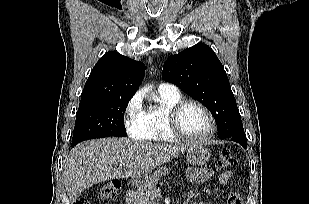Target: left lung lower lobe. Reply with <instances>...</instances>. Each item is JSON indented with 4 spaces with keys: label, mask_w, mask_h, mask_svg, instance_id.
I'll use <instances>...</instances> for the list:
<instances>
[{
    "label": "left lung lower lobe",
    "mask_w": 309,
    "mask_h": 204,
    "mask_svg": "<svg viewBox=\"0 0 309 204\" xmlns=\"http://www.w3.org/2000/svg\"><path fill=\"white\" fill-rule=\"evenodd\" d=\"M226 138H228L230 140H233L235 142H238L244 148H246V146H247L246 135H245L244 132L236 133V134H233V135H231L229 137H226ZM226 138H223V139H226Z\"/></svg>",
    "instance_id": "obj_1"
}]
</instances>
